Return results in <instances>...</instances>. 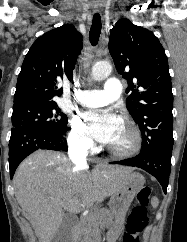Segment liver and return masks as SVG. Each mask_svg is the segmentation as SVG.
I'll use <instances>...</instances> for the list:
<instances>
[{
	"label": "liver",
	"mask_w": 187,
	"mask_h": 242,
	"mask_svg": "<svg viewBox=\"0 0 187 242\" xmlns=\"http://www.w3.org/2000/svg\"><path fill=\"white\" fill-rule=\"evenodd\" d=\"M132 170L101 164L89 171L87 165L73 166L62 153L38 150L16 170L15 197L34 225L39 242H52L64 210L77 214L114 195Z\"/></svg>",
	"instance_id": "obj_1"
}]
</instances>
